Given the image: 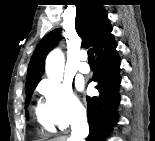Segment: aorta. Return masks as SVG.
Listing matches in <instances>:
<instances>
[{
  "mask_svg": "<svg viewBox=\"0 0 155 141\" xmlns=\"http://www.w3.org/2000/svg\"><path fill=\"white\" fill-rule=\"evenodd\" d=\"M64 69V55L60 49H55L46 58L45 71L49 79L61 77Z\"/></svg>",
  "mask_w": 155,
  "mask_h": 141,
  "instance_id": "1",
  "label": "aorta"
}]
</instances>
